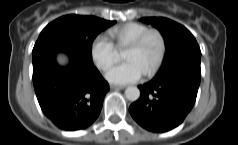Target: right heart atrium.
Returning <instances> with one entry per match:
<instances>
[{
	"instance_id": "right-heart-atrium-1",
	"label": "right heart atrium",
	"mask_w": 238,
	"mask_h": 145,
	"mask_svg": "<svg viewBox=\"0 0 238 145\" xmlns=\"http://www.w3.org/2000/svg\"><path fill=\"white\" fill-rule=\"evenodd\" d=\"M90 56L95 66L105 71L115 62L116 50L105 35H97L91 42Z\"/></svg>"
}]
</instances>
